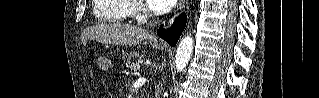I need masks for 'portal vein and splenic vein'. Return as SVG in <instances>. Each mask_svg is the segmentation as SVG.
Segmentation results:
<instances>
[{
	"mask_svg": "<svg viewBox=\"0 0 319 98\" xmlns=\"http://www.w3.org/2000/svg\"><path fill=\"white\" fill-rule=\"evenodd\" d=\"M130 70L133 71V72L138 71V70H139V65H137V64H131Z\"/></svg>",
	"mask_w": 319,
	"mask_h": 98,
	"instance_id": "1",
	"label": "portal vein and splenic vein"
}]
</instances>
